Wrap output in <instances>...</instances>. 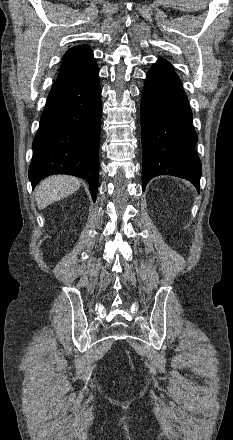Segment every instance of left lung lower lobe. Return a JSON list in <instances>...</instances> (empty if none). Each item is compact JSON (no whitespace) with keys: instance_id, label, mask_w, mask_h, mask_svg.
Segmentation results:
<instances>
[{"instance_id":"obj_1","label":"left lung lower lobe","mask_w":233,"mask_h":440,"mask_svg":"<svg viewBox=\"0 0 233 440\" xmlns=\"http://www.w3.org/2000/svg\"><path fill=\"white\" fill-rule=\"evenodd\" d=\"M143 190L157 175L191 181L199 191L201 163L187 96L173 67L159 59L146 75L141 100Z\"/></svg>"}]
</instances>
